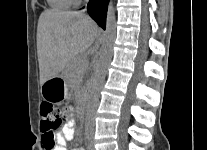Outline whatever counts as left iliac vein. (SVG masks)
Masks as SVG:
<instances>
[{
    "label": "left iliac vein",
    "instance_id": "4c4485c4",
    "mask_svg": "<svg viewBox=\"0 0 207 150\" xmlns=\"http://www.w3.org/2000/svg\"><path fill=\"white\" fill-rule=\"evenodd\" d=\"M88 150H95V149H94V146H93V143H92V140L90 141Z\"/></svg>",
    "mask_w": 207,
    "mask_h": 150
}]
</instances>
